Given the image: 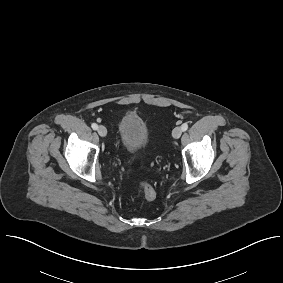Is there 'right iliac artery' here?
Returning <instances> with one entry per match:
<instances>
[{"mask_svg": "<svg viewBox=\"0 0 283 283\" xmlns=\"http://www.w3.org/2000/svg\"><path fill=\"white\" fill-rule=\"evenodd\" d=\"M91 127H92L94 130H97L98 125H97L96 123H92Z\"/></svg>", "mask_w": 283, "mask_h": 283, "instance_id": "82829eb1", "label": "right iliac artery"}]
</instances>
